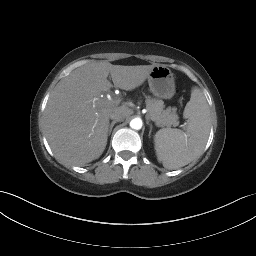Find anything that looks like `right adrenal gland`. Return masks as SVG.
Instances as JSON below:
<instances>
[{"label": "right adrenal gland", "instance_id": "1", "mask_svg": "<svg viewBox=\"0 0 256 256\" xmlns=\"http://www.w3.org/2000/svg\"><path fill=\"white\" fill-rule=\"evenodd\" d=\"M117 123V121H112L111 124L109 125V129H108V135L111 134L112 132V129L114 127V125Z\"/></svg>", "mask_w": 256, "mask_h": 256}]
</instances>
